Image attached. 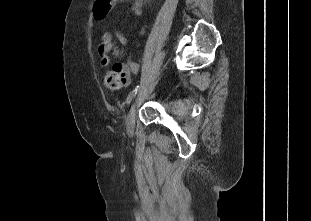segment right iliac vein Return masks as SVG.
I'll return each instance as SVG.
<instances>
[{
	"mask_svg": "<svg viewBox=\"0 0 311 221\" xmlns=\"http://www.w3.org/2000/svg\"><path fill=\"white\" fill-rule=\"evenodd\" d=\"M138 99L139 97H137L133 104L130 107L129 113H128V124H127V128L130 132L133 131L134 129V125H135V115H136V108H137V104H138Z\"/></svg>",
	"mask_w": 311,
	"mask_h": 221,
	"instance_id": "right-iliac-vein-1",
	"label": "right iliac vein"
}]
</instances>
